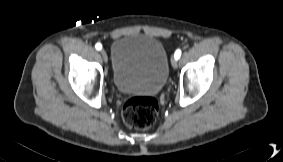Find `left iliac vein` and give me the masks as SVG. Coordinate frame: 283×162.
<instances>
[{
    "label": "left iliac vein",
    "instance_id": "obj_1",
    "mask_svg": "<svg viewBox=\"0 0 283 162\" xmlns=\"http://www.w3.org/2000/svg\"><path fill=\"white\" fill-rule=\"evenodd\" d=\"M172 67H173L174 69H176V68L178 67V61H177V59H175V58L172 59Z\"/></svg>",
    "mask_w": 283,
    "mask_h": 162
}]
</instances>
